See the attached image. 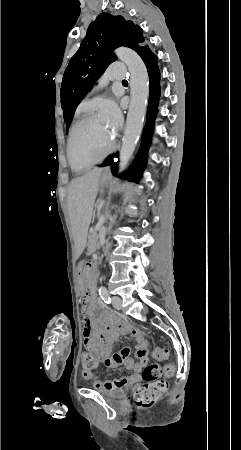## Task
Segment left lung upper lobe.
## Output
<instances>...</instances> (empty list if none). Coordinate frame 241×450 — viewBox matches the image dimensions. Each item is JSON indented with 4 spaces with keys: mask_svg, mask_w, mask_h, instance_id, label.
<instances>
[{
    "mask_svg": "<svg viewBox=\"0 0 241 450\" xmlns=\"http://www.w3.org/2000/svg\"><path fill=\"white\" fill-rule=\"evenodd\" d=\"M142 29L122 16L101 13L89 25L80 48L71 58L61 84V105L67 127L77 105L91 89L97 78L117 57L113 50L126 46L141 55L150 49L143 45Z\"/></svg>",
    "mask_w": 241,
    "mask_h": 450,
    "instance_id": "5c2ea615",
    "label": "left lung upper lobe"
}]
</instances>
